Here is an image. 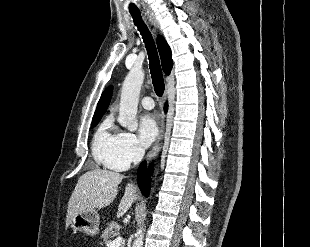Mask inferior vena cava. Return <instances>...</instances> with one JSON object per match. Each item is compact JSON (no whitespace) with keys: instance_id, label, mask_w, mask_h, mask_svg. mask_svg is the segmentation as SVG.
Instances as JSON below:
<instances>
[{"instance_id":"602c4592","label":"inferior vena cava","mask_w":310,"mask_h":247,"mask_svg":"<svg viewBox=\"0 0 310 247\" xmlns=\"http://www.w3.org/2000/svg\"><path fill=\"white\" fill-rule=\"evenodd\" d=\"M144 153L145 151L143 148L137 147L133 154V163L137 164L138 162H140L144 156Z\"/></svg>"}]
</instances>
